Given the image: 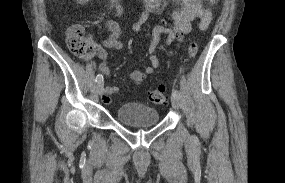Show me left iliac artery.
<instances>
[{"label": "left iliac artery", "instance_id": "obj_1", "mask_svg": "<svg viewBox=\"0 0 285 183\" xmlns=\"http://www.w3.org/2000/svg\"><path fill=\"white\" fill-rule=\"evenodd\" d=\"M172 96H176V97L180 98V97H181V94H180V92H179L178 90L173 89V91H172Z\"/></svg>", "mask_w": 285, "mask_h": 183}]
</instances>
